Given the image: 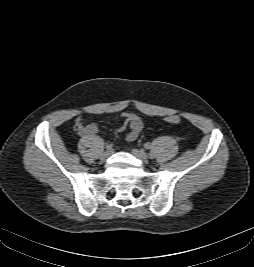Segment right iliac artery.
Listing matches in <instances>:
<instances>
[{
  "mask_svg": "<svg viewBox=\"0 0 254 267\" xmlns=\"http://www.w3.org/2000/svg\"><path fill=\"white\" fill-rule=\"evenodd\" d=\"M106 149H107V150H111V149H112V144H108V145H106Z\"/></svg>",
  "mask_w": 254,
  "mask_h": 267,
  "instance_id": "right-iliac-artery-1",
  "label": "right iliac artery"
}]
</instances>
